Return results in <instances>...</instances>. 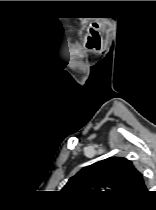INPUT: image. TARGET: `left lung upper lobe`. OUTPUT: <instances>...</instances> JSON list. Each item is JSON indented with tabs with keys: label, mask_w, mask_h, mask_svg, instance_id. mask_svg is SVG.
<instances>
[{
	"label": "left lung upper lobe",
	"mask_w": 156,
	"mask_h": 210,
	"mask_svg": "<svg viewBox=\"0 0 156 210\" xmlns=\"http://www.w3.org/2000/svg\"><path fill=\"white\" fill-rule=\"evenodd\" d=\"M75 193H113L136 196L147 192L143 175L132 162L120 157H110L83 168L71 177L63 188Z\"/></svg>",
	"instance_id": "5c2ea615"
}]
</instances>
